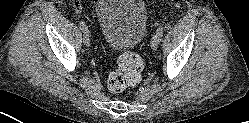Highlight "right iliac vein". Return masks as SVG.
Returning a JSON list of instances; mask_svg holds the SVG:
<instances>
[{"label": "right iliac vein", "instance_id": "63e3f726", "mask_svg": "<svg viewBox=\"0 0 249 123\" xmlns=\"http://www.w3.org/2000/svg\"><path fill=\"white\" fill-rule=\"evenodd\" d=\"M83 43L86 45V46H89L90 45V34L89 32H84V35H83Z\"/></svg>", "mask_w": 249, "mask_h": 123}]
</instances>
